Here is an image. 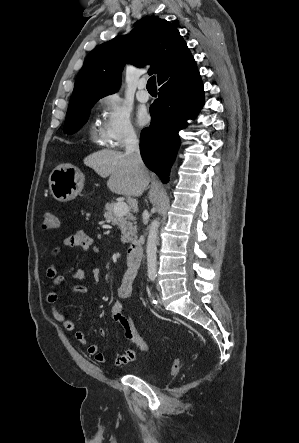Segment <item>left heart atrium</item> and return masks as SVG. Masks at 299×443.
I'll list each match as a JSON object with an SVG mask.
<instances>
[{"label":"left heart atrium","instance_id":"left-heart-atrium-1","mask_svg":"<svg viewBox=\"0 0 299 443\" xmlns=\"http://www.w3.org/2000/svg\"><path fill=\"white\" fill-rule=\"evenodd\" d=\"M136 119L140 126L146 125L149 121V114L145 109L141 108L137 111Z\"/></svg>","mask_w":299,"mask_h":443}]
</instances>
